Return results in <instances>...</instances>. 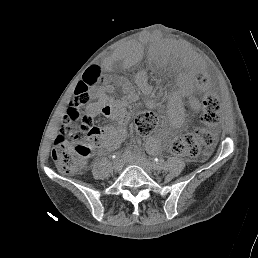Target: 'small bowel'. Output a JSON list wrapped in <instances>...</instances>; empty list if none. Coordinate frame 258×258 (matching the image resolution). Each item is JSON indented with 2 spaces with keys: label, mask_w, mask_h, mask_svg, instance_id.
<instances>
[{
  "label": "small bowel",
  "mask_w": 258,
  "mask_h": 258,
  "mask_svg": "<svg viewBox=\"0 0 258 258\" xmlns=\"http://www.w3.org/2000/svg\"><path fill=\"white\" fill-rule=\"evenodd\" d=\"M141 53V49L137 45H133L130 52L123 57V64L132 65L136 63L140 58ZM107 66H111V64H108ZM196 71L197 68L193 67L191 74H195ZM93 93L97 98V103L87 107L85 118L90 120L95 116L102 115L115 121L114 109L104 95V90L101 87H98L93 90ZM125 133L124 127L120 124H111L104 127L101 130L100 135L101 143L95 153L101 156L116 149L124 138ZM149 147L154 151L158 150V144L154 140L149 142Z\"/></svg>",
  "instance_id": "1"
}]
</instances>
